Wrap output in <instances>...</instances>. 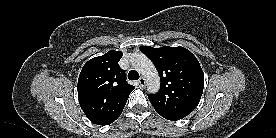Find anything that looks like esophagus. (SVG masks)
<instances>
[{"instance_id": "34e87169", "label": "esophagus", "mask_w": 276, "mask_h": 138, "mask_svg": "<svg viewBox=\"0 0 276 138\" xmlns=\"http://www.w3.org/2000/svg\"><path fill=\"white\" fill-rule=\"evenodd\" d=\"M138 84H139L141 87H145V85H146L145 79H144L143 77H141V78L138 80Z\"/></svg>"}]
</instances>
